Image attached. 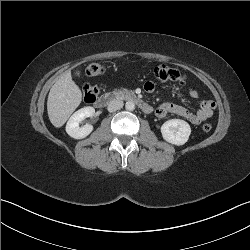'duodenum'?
<instances>
[{
  "label": "duodenum",
  "mask_w": 250,
  "mask_h": 250,
  "mask_svg": "<svg viewBox=\"0 0 250 250\" xmlns=\"http://www.w3.org/2000/svg\"><path fill=\"white\" fill-rule=\"evenodd\" d=\"M123 99L135 103L145 113H151L152 107L140 96L131 91H111L99 96L95 101V106L104 108L114 100Z\"/></svg>",
  "instance_id": "obj_1"
}]
</instances>
